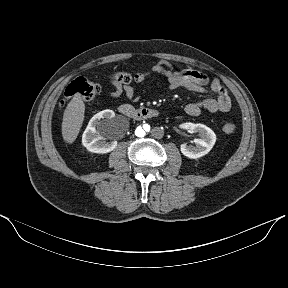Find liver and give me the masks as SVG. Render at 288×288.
<instances>
[{
  "label": "liver",
  "mask_w": 288,
  "mask_h": 288,
  "mask_svg": "<svg viewBox=\"0 0 288 288\" xmlns=\"http://www.w3.org/2000/svg\"><path fill=\"white\" fill-rule=\"evenodd\" d=\"M85 104L80 96L76 94L68 103L62 122V137L65 142L73 143L80 131L84 120Z\"/></svg>",
  "instance_id": "6515ba94"
}]
</instances>
